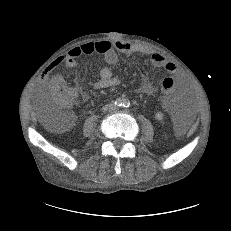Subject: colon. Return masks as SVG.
<instances>
[{"instance_id": "obj_1", "label": "colon", "mask_w": 231, "mask_h": 231, "mask_svg": "<svg viewBox=\"0 0 231 231\" xmlns=\"http://www.w3.org/2000/svg\"><path fill=\"white\" fill-rule=\"evenodd\" d=\"M159 87L163 92L170 93L175 89L176 82L172 77L165 76L160 80ZM74 97V90L64 85L49 91L47 106L41 113L43 122L49 130L60 132L71 125L73 117L68 108L73 103Z\"/></svg>"}]
</instances>
